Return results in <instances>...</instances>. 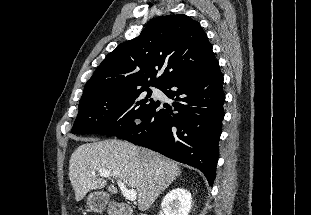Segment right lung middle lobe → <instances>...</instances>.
I'll return each instance as SVG.
<instances>
[{
  "instance_id": "obj_1",
  "label": "right lung middle lobe",
  "mask_w": 311,
  "mask_h": 215,
  "mask_svg": "<svg viewBox=\"0 0 311 215\" xmlns=\"http://www.w3.org/2000/svg\"><path fill=\"white\" fill-rule=\"evenodd\" d=\"M162 90V88H160ZM149 87L108 92L81 100L71 132L117 136L140 123L153 112L159 101L151 98Z\"/></svg>"
}]
</instances>
